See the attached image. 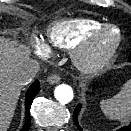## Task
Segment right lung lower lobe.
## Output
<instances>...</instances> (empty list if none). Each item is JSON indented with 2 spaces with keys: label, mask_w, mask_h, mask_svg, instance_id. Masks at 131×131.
<instances>
[{
  "label": "right lung lower lobe",
  "mask_w": 131,
  "mask_h": 131,
  "mask_svg": "<svg viewBox=\"0 0 131 131\" xmlns=\"http://www.w3.org/2000/svg\"><path fill=\"white\" fill-rule=\"evenodd\" d=\"M40 91V83L38 80L34 81L33 84L29 87L26 93V99H25V125L21 131H29L30 129V108L31 104L33 102L34 97L38 94Z\"/></svg>",
  "instance_id": "1"
}]
</instances>
